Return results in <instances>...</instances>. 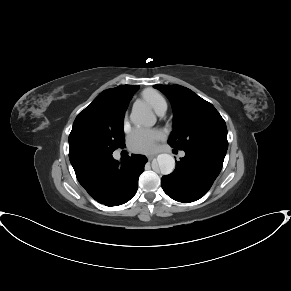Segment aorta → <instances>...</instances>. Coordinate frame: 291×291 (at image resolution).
I'll use <instances>...</instances> for the list:
<instances>
[{
  "mask_svg": "<svg viewBox=\"0 0 291 291\" xmlns=\"http://www.w3.org/2000/svg\"><path fill=\"white\" fill-rule=\"evenodd\" d=\"M130 119L138 126L151 127L156 123L155 114L145 103H136L133 105ZM156 162L163 175L171 174L175 168V160L170 154H159Z\"/></svg>",
  "mask_w": 291,
  "mask_h": 291,
  "instance_id": "aorta-1",
  "label": "aorta"
}]
</instances>
